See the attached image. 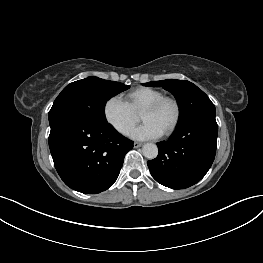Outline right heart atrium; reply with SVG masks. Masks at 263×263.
Segmentation results:
<instances>
[{
  "label": "right heart atrium",
  "mask_w": 263,
  "mask_h": 263,
  "mask_svg": "<svg viewBox=\"0 0 263 263\" xmlns=\"http://www.w3.org/2000/svg\"><path fill=\"white\" fill-rule=\"evenodd\" d=\"M106 122L119 134L127 135L137 121L136 113L120 96L108 98L103 105Z\"/></svg>",
  "instance_id": "right-heart-atrium-1"
}]
</instances>
